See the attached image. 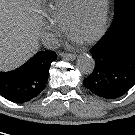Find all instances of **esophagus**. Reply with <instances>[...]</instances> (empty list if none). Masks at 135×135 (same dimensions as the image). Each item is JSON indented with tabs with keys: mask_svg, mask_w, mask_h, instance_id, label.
I'll list each match as a JSON object with an SVG mask.
<instances>
[{
	"mask_svg": "<svg viewBox=\"0 0 135 135\" xmlns=\"http://www.w3.org/2000/svg\"><path fill=\"white\" fill-rule=\"evenodd\" d=\"M60 56L63 58V59H66V60H75L76 59V54H68V53H60Z\"/></svg>",
	"mask_w": 135,
	"mask_h": 135,
	"instance_id": "1",
	"label": "esophagus"
}]
</instances>
